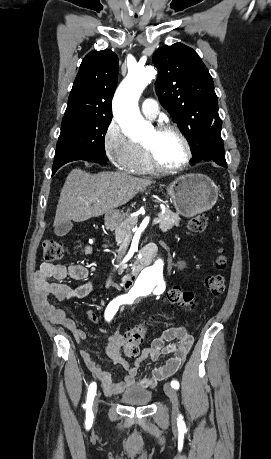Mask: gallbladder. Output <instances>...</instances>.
Segmentation results:
<instances>
[{"mask_svg":"<svg viewBox=\"0 0 271 459\" xmlns=\"http://www.w3.org/2000/svg\"><path fill=\"white\" fill-rule=\"evenodd\" d=\"M73 228L72 222H61V224H57L54 228V233L56 235H66L70 229Z\"/></svg>","mask_w":271,"mask_h":459,"instance_id":"obj_1","label":"gallbladder"}]
</instances>
